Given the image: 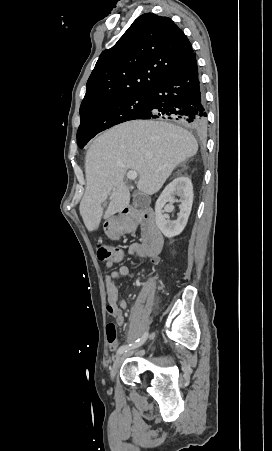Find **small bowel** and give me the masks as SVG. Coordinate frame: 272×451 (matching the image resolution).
I'll list each match as a JSON object with an SVG mask.
<instances>
[{"label":"small bowel","instance_id":"small-bowel-1","mask_svg":"<svg viewBox=\"0 0 272 451\" xmlns=\"http://www.w3.org/2000/svg\"><path fill=\"white\" fill-rule=\"evenodd\" d=\"M137 246L132 247V251L135 250ZM123 258V253H118L114 258L106 261V268L110 269L114 264L121 261ZM160 262L159 254L150 255V263L152 266H157ZM135 274L130 271L129 267L126 265H121L117 269L109 272L105 276V287L107 294V313L115 319L116 324L119 327L125 325V318L123 315V310L128 308V304L124 300H119V289L116 285V281L125 277H133Z\"/></svg>","mask_w":272,"mask_h":451}]
</instances>
